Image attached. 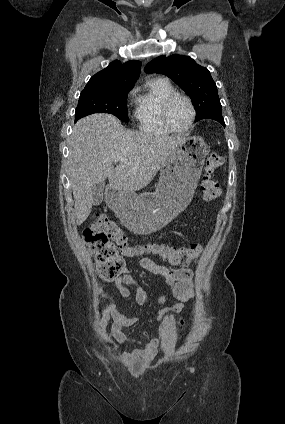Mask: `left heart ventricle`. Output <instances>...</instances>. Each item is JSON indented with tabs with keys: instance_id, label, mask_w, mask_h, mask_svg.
I'll use <instances>...</instances> for the list:
<instances>
[{
	"instance_id": "obj_1",
	"label": "left heart ventricle",
	"mask_w": 285,
	"mask_h": 424,
	"mask_svg": "<svg viewBox=\"0 0 285 424\" xmlns=\"http://www.w3.org/2000/svg\"><path fill=\"white\" fill-rule=\"evenodd\" d=\"M191 119V110L186 101L177 99L169 110V120L172 126L177 129L187 127Z\"/></svg>"
}]
</instances>
